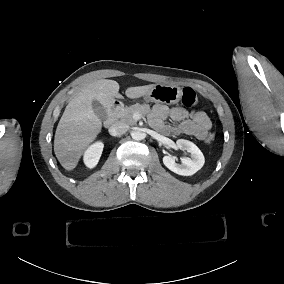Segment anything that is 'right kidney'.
I'll return each mask as SVG.
<instances>
[{"instance_id": "ca27d5eb", "label": "right kidney", "mask_w": 284, "mask_h": 284, "mask_svg": "<svg viewBox=\"0 0 284 284\" xmlns=\"http://www.w3.org/2000/svg\"><path fill=\"white\" fill-rule=\"evenodd\" d=\"M103 145L101 143H97L90 147L85 155V163L88 167H94L102 153Z\"/></svg>"}]
</instances>
